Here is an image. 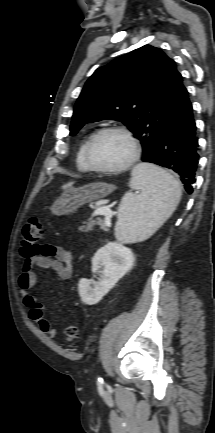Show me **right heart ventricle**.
Segmentation results:
<instances>
[{
    "mask_svg": "<svg viewBox=\"0 0 215 433\" xmlns=\"http://www.w3.org/2000/svg\"><path fill=\"white\" fill-rule=\"evenodd\" d=\"M95 133V130L89 132L84 140L82 141L77 154H76V165L79 171L81 172H90L92 171L90 167L88 166L86 160H85V147L91 136Z\"/></svg>",
    "mask_w": 215,
    "mask_h": 433,
    "instance_id": "e07e8e85",
    "label": "right heart ventricle"
}]
</instances>
